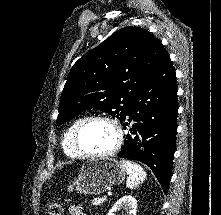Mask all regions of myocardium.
<instances>
[{"mask_svg":"<svg viewBox=\"0 0 221 215\" xmlns=\"http://www.w3.org/2000/svg\"><path fill=\"white\" fill-rule=\"evenodd\" d=\"M94 121H104L107 122L108 124H110L114 130V134H115V141L113 146L105 151V152H101V153H89L86 152L85 150H83V148L80 145V136L82 131L92 122ZM123 143V132L121 129L120 124L112 117L107 116V115H94V116H90L87 117L83 120V122L77 127L75 134H74V145L76 150L78 151V153L81 156L87 157V158H104L107 156H111L114 153H116L119 148L121 147Z\"/></svg>","mask_w":221,"mask_h":215,"instance_id":"myocardium-1","label":"myocardium"}]
</instances>
